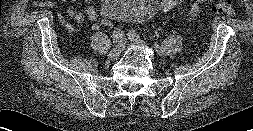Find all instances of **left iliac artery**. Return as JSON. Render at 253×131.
Here are the masks:
<instances>
[{
	"label": "left iliac artery",
	"instance_id": "44dca946",
	"mask_svg": "<svg viewBox=\"0 0 253 131\" xmlns=\"http://www.w3.org/2000/svg\"><path fill=\"white\" fill-rule=\"evenodd\" d=\"M128 36H132V37H135V38H140V37H141L140 34H139L138 32H136V31H134V30L129 31ZM153 45H154V47H155L158 51L161 50V47H160V45H159L158 43L154 42Z\"/></svg>",
	"mask_w": 253,
	"mask_h": 131
}]
</instances>
